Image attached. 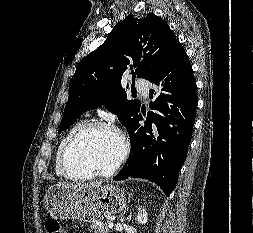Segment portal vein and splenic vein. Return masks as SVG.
Returning <instances> with one entry per match:
<instances>
[{"instance_id": "portal-vein-and-splenic-vein-1", "label": "portal vein and splenic vein", "mask_w": 253, "mask_h": 233, "mask_svg": "<svg viewBox=\"0 0 253 233\" xmlns=\"http://www.w3.org/2000/svg\"><path fill=\"white\" fill-rule=\"evenodd\" d=\"M114 224L113 223H108V228H113Z\"/></svg>"}]
</instances>
